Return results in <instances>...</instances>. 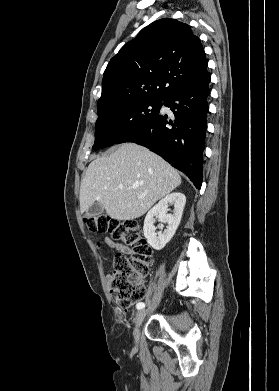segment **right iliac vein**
<instances>
[{"instance_id": "1", "label": "right iliac vein", "mask_w": 279, "mask_h": 391, "mask_svg": "<svg viewBox=\"0 0 279 391\" xmlns=\"http://www.w3.org/2000/svg\"><path fill=\"white\" fill-rule=\"evenodd\" d=\"M146 315H147L146 310H140V311H138V313L136 315L134 330H133V336L136 341L139 339V335H140L139 328H140V325L142 324L143 320L145 319Z\"/></svg>"}]
</instances>
